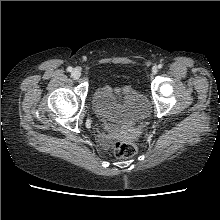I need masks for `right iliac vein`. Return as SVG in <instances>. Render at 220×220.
Returning <instances> with one entry per match:
<instances>
[{
  "mask_svg": "<svg viewBox=\"0 0 220 220\" xmlns=\"http://www.w3.org/2000/svg\"><path fill=\"white\" fill-rule=\"evenodd\" d=\"M71 75H72V77H73L74 79H78V78L80 77V75H81V70H80V68H75V69H73Z\"/></svg>",
  "mask_w": 220,
  "mask_h": 220,
  "instance_id": "1",
  "label": "right iliac vein"
}]
</instances>
